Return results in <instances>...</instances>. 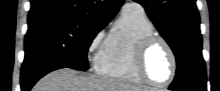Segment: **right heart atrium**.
Segmentation results:
<instances>
[{
  "label": "right heart atrium",
  "mask_w": 220,
  "mask_h": 91,
  "mask_svg": "<svg viewBox=\"0 0 220 91\" xmlns=\"http://www.w3.org/2000/svg\"><path fill=\"white\" fill-rule=\"evenodd\" d=\"M103 38V31H98L90 40L87 50L89 53H92L101 43V40Z\"/></svg>",
  "instance_id": "d8ad5b80"
}]
</instances>
